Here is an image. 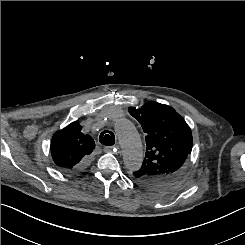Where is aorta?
Here are the masks:
<instances>
[{"label": "aorta", "mask_w": 245, "mask_h": 245, "mask_svg": "<svg viewBox=\"0 0 245 245\" xmlns=\"http://www.w3.org/2000/svg\"><path fill=\"white\" fill-rule=\"evenodd\" d=\"M115 132L122 148L126 168L131 171L138 170L142 164L143 151L135 126L128 119H121L115 124Z\"/></svg>", "instance_id": "762f6f07"}]
</instances>
